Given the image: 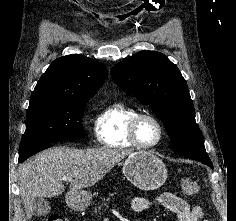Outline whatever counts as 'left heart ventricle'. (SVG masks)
<instances>
[{"instance_id":"b2bd125f","label":"left heart ventricle","mask_w":236,"mask_h":221,"mask_svg":"<svg viewBox=\"0 0 236 221\" xmlns=\"http://www.w3.org/2000/svg\"><path fill=\"white\" fill-rule=\"evenodd\" d=\"M137 137L142 144H152L158 138V128L153 121L142 119L137 127Z\"/></svg>"}]
</instances>
